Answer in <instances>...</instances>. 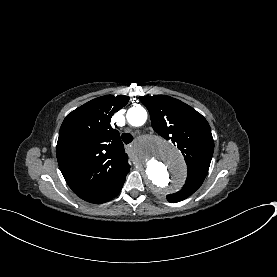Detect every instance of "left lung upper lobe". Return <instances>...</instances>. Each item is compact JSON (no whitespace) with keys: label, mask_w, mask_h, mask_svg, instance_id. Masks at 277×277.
<instances>
[{"label":"left lung upper lobe","mask_w":277,"mask_h":277,"mask_svg":"<svg viewBox=\"0 0 277 277\" xmlns=\"http://www.w3.org/2000/svg\"><path fill=\"white\" fill-rule=\"evenodd\" d=\"M155 132L171 140L181 150L187 164V179L181 191L167 195L179 202L192 195L204 181L214 151L211 129L206 119L182 101L165 96H142Z\"/></svg>","instance_id":"obj_1"}]
</instances>
